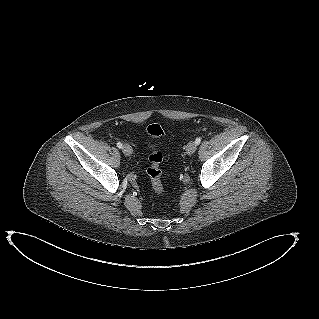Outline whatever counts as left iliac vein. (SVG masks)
Instances as JSON below:
<instances>
[{
	"instance_id": "1",
	"label": "left iliac vein",
	"mask_w": 319,
	"mask_h": 319,
	"mask_svg": "<svg viewBox=\"0 0 319 319\" xmlns=\"http://www.w3.org/2000/svg\"><path fill=\"white\" fill-rule=\"evenodd\" d=\"M197 149V144L193 141H190L188 144H187V147H186V151L189 155L193 154Z\"/></svg>"
}]
</instances>
